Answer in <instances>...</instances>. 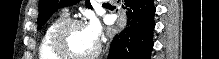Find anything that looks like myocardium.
I'll return each instance as SVG.
<instances>
[{
    "label": "myocardium",
    "mask_w": 219,
    "mask_h": 59,
    "mask_svg": "<svg viewBox=\"0 0 219 59\" xmlns=\"http://www.w3.org/2000/svg\"><path fill=\"white\" fill-rule=\"evenodd\" d=\"M74 26H84L79 19H66L55 30L52 38V49L62 59H94L100 53V44L97 42L93 51L84 55L71 53L66 46L67 32Z\"/></svg>",
    "instance_id": "1"
}]
</instances>
